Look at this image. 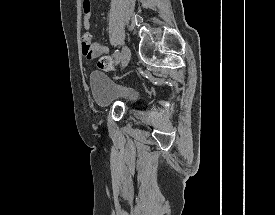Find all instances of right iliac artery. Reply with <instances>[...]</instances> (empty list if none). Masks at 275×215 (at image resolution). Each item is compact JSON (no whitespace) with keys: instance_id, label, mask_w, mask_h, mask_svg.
<instances>
[{"instance_id":"1","label":"right iliac artery","mask_w":275,"mask_h":215,"mask_svg":"<svg viewBox=\"0 0 275 215\" xmlns=\"http://www.w3.org/2000/svg\"><path fill=\"white\" fill-rule=\"evenodd\" d=\"M114 57H115V59H116V62H119V60H120V53H119V50H116V51H115Z\"/></svg>"}]
</instances>
